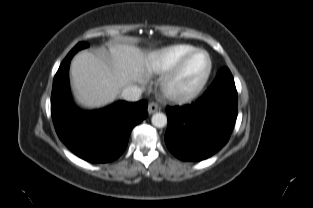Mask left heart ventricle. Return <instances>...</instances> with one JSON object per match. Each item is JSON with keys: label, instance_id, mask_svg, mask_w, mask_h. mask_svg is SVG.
Here are the masks:
<instances>
[{"label": "left heart ventricle", "instance_id": "obj_1", "mask_svg": "<svg viewBox=\"0 0 313 208\" xmlns=\"http://www.w3.org/2000/svg\"><path fill=\"white\" fill-rule=\"evenodd\" d=\"M206 67V58L203 54L194 57L185 69L182 79L180 80L181 86L189 87L194 85Z\"/></svg>", "mask_w": 313, "mask_h": 208}]
</instances>
